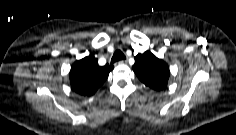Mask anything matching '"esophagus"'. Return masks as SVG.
Returning <instances> with one entry per match:
<instances>
[{
	"mask_svg": "<svg viewBox=\"0 0 236 135\" xmlns=\"http://www.w3.org/2000/svg\"><path fill=\"white\" fill-rule=\"evenodd\" d=\"M126 63H127V60H126V59L120 60V61L118 62V64H126Z\"/></svg>",
	"mask_w": 236,
	"mask_h": 135,
	"instance_id": "obj_1",
	"label": "esophagus"
}]
</instances>
